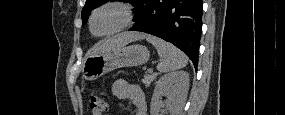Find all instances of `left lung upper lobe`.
<instances>
[{"mask_svg": "<svg viewBox=\"0 0 285 115\" xmlns=\"http://www.w3.org/2000/svg\"><path fill=\"white\" fill-rule=\"evenodd\" d=\"M108 1L109 0H86L85 6L82 9V13H81L83 25L86 24V22L88 20L89 13L91 12V10L97 8L100 5H103L104 3L108 2ZM120 1L131 3L135 7L134 11H136L139 8V6L143 0H120Z\"/></svg>", "mask_w": 285, "mask_h": 115, "instance_id": "1", "label": "left lung upper lobe"}]
</instances>
